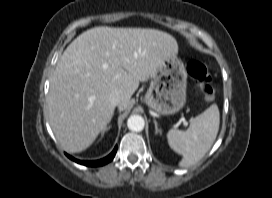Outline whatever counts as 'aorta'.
Wrapping results in <instances>:
<instances>
[{
	"label": "aorta",
	"instance_id": "1",
	"mask_svg": "<svg viewBox=\"0 0 272 198\" xmlns=\"http://www.w3.org/2000/svg\"><path fill=\"white\" fill-rule=\"evenodd\" d=\"M144 119L140 115H131L128 118L127 126L131 131L140 132L144 129Z\"/></svg>",
	"mask_w": 272,
	"mask_h": 198
}]
</instances>
